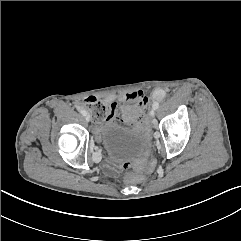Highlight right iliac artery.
Listing matches in <instances>:
<instances>
[{
    "label": "right iliac artery",
    "instance_id": "right-iliac-artery-1",
    "mask_svg": "<svg viewBox=\"0 0 241 241\" xmlns=\"http://www.w3.org/2000/svg\"><path fill=\"white\" fill-rule=\"evenodd\" d=\"M80 112H81V114L84 115V116L87 115L86 111H84V110H81Z\"/></svg>",
    "mask_w": 241,
    "mask_h": 241
}]
</instances>
